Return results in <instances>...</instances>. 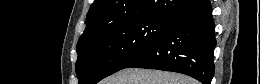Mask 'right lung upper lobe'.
<instances>
[{
    "mask_svg": "<svg viewBox=\"0 0 260 84\" xmlns=\"http://www.w3.org/2000/svg\"><path fill=\"white\" fill-rule=\"evenodd\" d=\"M202 0H95L86 16V28L77 46L95 39L124 21L143 17L173 19Z\"/></svg>",
    "mask_w": 260,
    "mask_h": 84,
    "instance_id": "obj_1",
    "label": "right lung upper lobe"
}]
</instances>
